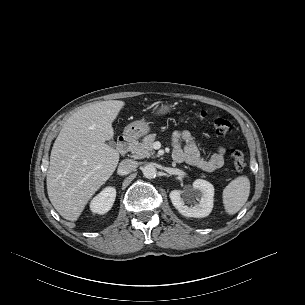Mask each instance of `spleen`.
Listing matches in <instances>:
<instances>
[{"mask_svg":"<svg viewBox=\"0 0 305 305\" xmlns=\"http://www.w3.org/2000/svg\"><path fill=\"white\" fill-rule=\"evenodd\" d=\"M250 193V181L247 176L232 180L223 190L222 198L225 212L229 215L237 213L246 203Z\"/></svg>","mask_w":305,"mask_h":305,"instance_id":"spleen-1","label":"spleen"}]
</instances>
